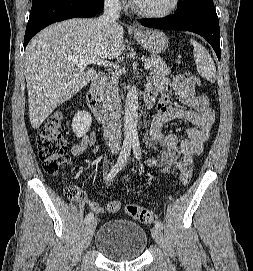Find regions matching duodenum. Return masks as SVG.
<instances>
[{
	"mask_svg": "<svg viewBox=\"0 0 253 271\" xmlns=\"http://www.w3.org/2000/svg\"><path fill=\"white\" fill-rule=\"evenodd\" d=\"M105 77L104 73H99L96 78L90 83L87 90L88 105L96 116V118L105 123L109 120V110L107 105L103 102L100 96V84ZM154 95L150 92H146L143 97V105L145 109L149 110L153 106Z\"/></svg>",
	"mask_w": 253,
	"mask_h": 271,
	"instance_id": "obj_1",
	"label": "duodenum"
}]
</instances>
